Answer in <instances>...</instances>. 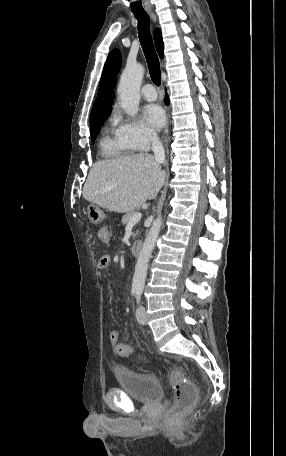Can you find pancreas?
Masks as SVG:
<instances>
[{"label": "pancreas", "mask_w": 286, "mask_h": 456, "mask_svg": "<svg viewBox=\"0 0 286 456\" xmlns=\"http://www.w3.org/2000/svg\"><path fill=\"white\" fill-rule=\"evenodd\" d=\"M136 212L135 211H131V212H128L126 213L123 217H122V223L125 225L129 222V220L132 218V216L135 214ZM138 234V232L134 233L133 234V237H135L136 235Z\"/></svg>", "instance_id": "1"}]
</instances>
